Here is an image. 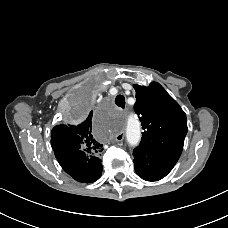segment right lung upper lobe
<instances>
[{"label":"right lung upper lobe","mask_w":228,"mask_h":228,"mask_svg":"<svg viewBox=\"0 0 228 228\" xmlns=\"http://www.w3.org/2000/svg\"><path fill=\"white\" fill-rule=\"evenodd\" d=\"M51 145L57 160L73 157V166L85 174H91L95 159L89 163L86 160L96 157L102 152L100 144L92 134V111L88 117L79 124H60L52 129Z\"/></svg>","instance_id":"obj_1"}]
</instances>
